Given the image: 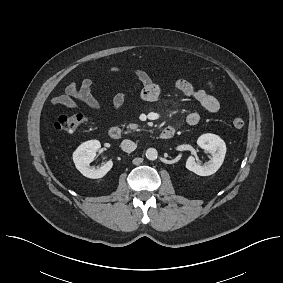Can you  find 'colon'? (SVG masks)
Returning a JSON list of instances; mask_svg holds the SVG:
<instances>
[{
  "label": "colon",
  "mask_w": 283,
  "mask_h": 283,
  "mask_svg": "<svg viewBox=\"0 0 283 283\" xmlns=\"http://www.w3.org/2000/svg\"><path fill=\"white\" fill-rule=\"evenodd\" d=\"M85 120L86 117L82 113L62 115L54 123V129L61 133L72 134L84 124ZM232 124L235 129H241L245 122L242 118H235Z\"/></svg>",
  "instance_id": "1"
}]
</instances>
